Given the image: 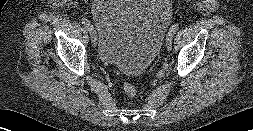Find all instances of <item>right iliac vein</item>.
<instances>
[{"instance_id":"right-iliac-vein-1","label":"right iliac vein","mask_w":253,"mask_h":131,"mask_svg":"<svg viewBox=\"0 0 253 131\" xmlns=\"http://www.w3.org/2000/svg\"><path fill=\"white\" fill-rule=\"evenodd\" d=\"M89 33H90V39H91L92 46L95 47L96 43H97V35H96V31L93 28V26H91L89 28Z\"/></svg>"}]
</instances>
